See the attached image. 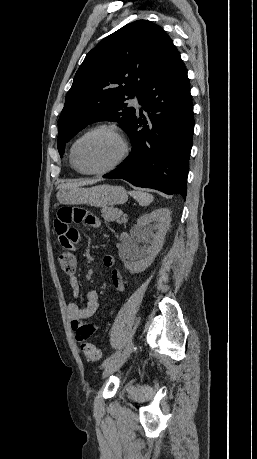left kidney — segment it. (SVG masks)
<instances>
[{
  "label": "left kidney",
  "instance_id": "5707ae66",
  "mask_svg": "<svg viewBox=\"0 0 257 459\" xmlns=\"http://www.w3.org/2000/svg\"><path fill=\"white\" fill-rule=\"evenodd\" d=\"M171 222L170 211L167 208H159L148 214L140 216L131 235L133 240L125 251L128 261L124 266L130 273H139L147 269L160 252L165 235ZM154 231H156L154 233ZM139 242L150 245L140 247Z\"/></svg>",
  "mask_w": 257,
  "mask_h": 459
}]
</instances>
